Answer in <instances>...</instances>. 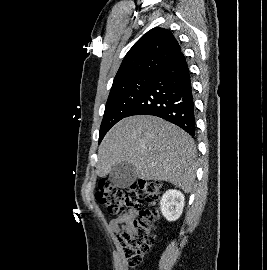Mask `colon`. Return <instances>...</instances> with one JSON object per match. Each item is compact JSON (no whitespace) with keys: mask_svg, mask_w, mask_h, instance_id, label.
Here are the masks:
<instances>
[{"mask_svg":"<svg viewBox=\"0 0 267 270\" xmlns=\"http://www.w3.org/2000/svg\"><path fill=\"white\" fill-rule=\"evenodd\" d=\"M162 191V184L152 180H141L127 188L116 187L107 179L98 182L95 198L110 214L139 212V217L118 234L124 257L131 268L140 265L154 243L156 205ZM144 203L149 208H143Z\"/></svg>","mask_w":267,"mask_h":270,"instance_id":"1","label":"colon"}]
</instances>
